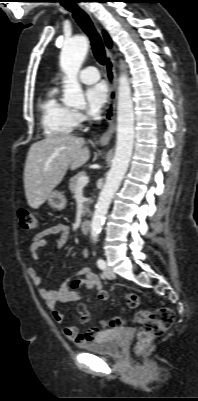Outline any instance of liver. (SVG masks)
<instances>
[{
    "mask_svg": "<svg viewBox=\"0 0 198 401\" xmlns=\"http://www.w3.org/2000/svg\"><path fill=\"white\" fill-rule=\"evenodd\" d=\"M83 138L53 135L33 143L28 151L24 188L28 204L38 209L64 178L67 170L83 166L90 151Z\"/></svg>",
    "mask_w": 198,
    "mask_h": 401,
    "instance_id": "1",
    "label": "liver"
}]
</instances>
